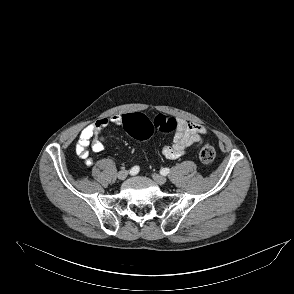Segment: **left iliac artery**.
Masks as SVG:
<instances>
[{"label":"left iliac artery","instance_id":"left-iliac-artery-1","mask_svg":"<svg viewBox=\"0 0 294 294\" xmlns=\"http://www.w3.org/2000/svg\"><path fill=\"white\" fill-rule=\"evenodd\" d=\"M169 171H170L169 168H163V169L160 170V173H161L162 175H167V174L169 173Z\"/></svg>","mask_w":294,"mask_h":294}]
</instances>
